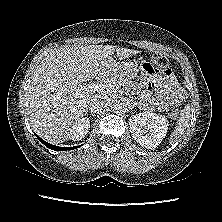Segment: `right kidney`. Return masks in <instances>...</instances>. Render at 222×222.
Wrapping results in <instances>:
<instances>
[{
	"label": "right kidney",
	"instance_id": "right-kidney-1",
	"mask_svg": "<svg viewBox=\"0 0 222 222\" xmlns=\"http://www.w3.org/2000/svg\"><path fill=\"white\" fill-rule=\"evenodd\" d=\"M90 128V119L87 117H84L80 120H78L76 123L73 124V126L70 129L69 132V139L79 141L88 133V130Z\"/></svg>",
	"mask_w": 222,
	"mask_h": 222
}]
</instances>
